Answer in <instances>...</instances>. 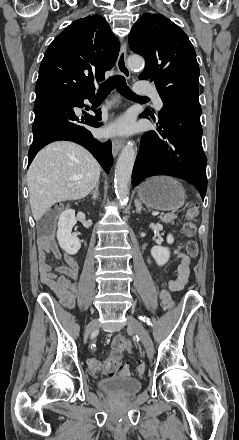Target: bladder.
I'll return each instance as SVG.
<instances>
[{"instance_id": "31cf9c89", "label": "bladder", "mask_w": 239, "mask_h": 440, "mask_svg": "<svg viewBox=\"0 0 239 440\" xmlns=\"http://www.w3.org/2000/svg\"><path fill=\"white\" fill-rule=\"evenodd\" d=\"M100 390L119 396H131L138 393L142 388L139 379L127 376H114L100 379L97 382Z\"/></svg>"}]
</instances>
